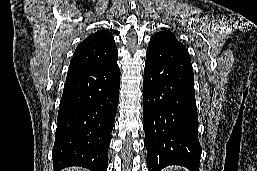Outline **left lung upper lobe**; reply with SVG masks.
<instances>
[{
  "label": "left lung upper lobe",
  "mask_w": 257,
  "mask_h": 171,
  "mask_svg": "<svg viewBox=\"0 0 257 171\" xmlns=\"http://www.w3.org/2000/svg\"><path fill=\"white\" fill-rule=\"evenodd\" d=\"M166 48L187 52L185 46L181 44L176 39L175 35L170 32H158L151 37L150 43L148 46L149 50L166 49Z\"/></svg>",
  "instance_id": "1"
}]
</instances>
